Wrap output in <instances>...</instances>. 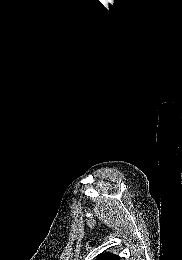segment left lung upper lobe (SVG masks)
I'll list each match as a JSON object with an SVG mask.
<instances>
[{"instance_id": "1", "label": "left lung upper lobe", "mask_w": 182, "mask_h": 260, "mask_svg": "<svg viewBox=\"0 0 182 260\" xmlns=\"http://www.w3.org/2000/svg\"><path fill=\"white\" fill-rule=\"evenodd\" d=\"M96 260H120L119 256L111 253H103L97 257Z\"/></svg>"}]
</instances>
